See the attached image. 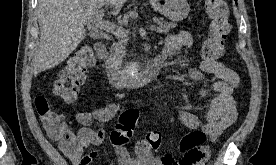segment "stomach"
<instances>
[{
	"instance_id": "stomach-1",
	"label": "stomach",
	"mask_w": 276,
	"mask_h": 165,
	"mask_svg": "<svg viewBox=\"0 0 276 165\" xmlns=\"http://www.w3.org/2000/svg\"><path fill=\"white\" fill-rule=\"evenodd\" d=\"M149 2L154 10L175 22L185 19L190 12L187 0H149Z\"/></svg>"
}]
</instances>
